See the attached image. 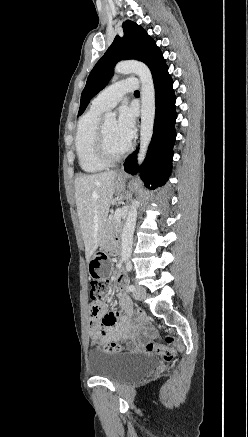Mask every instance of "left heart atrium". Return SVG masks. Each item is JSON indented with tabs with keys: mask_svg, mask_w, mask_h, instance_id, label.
Returning a JSON list of instances; mask_svg holds the SVG:
<instances>
[{
	"mask_svg": "<svg viewBox=\"0 0 248 437\" xmlns=\"http://www.w3.org/2000/svg\"><path fill=\"white\" fill-rule=\"evenodd\" d=\"M116 133L127 144L132 141L135 135V115L128 106H123L119 110V116L116 121Z\"/></svg>",
	"mask_w": 248,
	"mask_h": 437,
	"instance_id": "39dd6f15",
	"label": "left heart atrium"
}]
</instances>
